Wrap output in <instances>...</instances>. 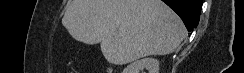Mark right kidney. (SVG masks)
Returning a JSON list of instances; mask_svg holds the SVG:
<instances>
[{"label": "right kidney", "instance_id": "ca27d5eb", "mask_svg": "<svg viewBox=\"0 0 244 73\" xmlns=\"http://www.w3.org/2000/svg\"><path fill=\"white\" fill-rule=\"evenodd\" d=\"M144 69L148 73H159V61L154 58H144L128 65L122 73H140Z\"/></svg>", "mask_w": 244, "mask_h": 73}]
</instances>
